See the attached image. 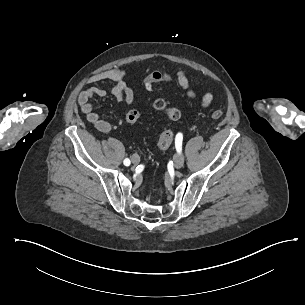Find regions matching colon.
<instances>
[{"mask_svg": "<svg viewBox=\"0 0 305 305\" xmlns=\"http://www.w3.org/2000/svg\"><path fill=\"white\" fill-rule=\"evenodd\" d=\"M163 79L168 81L174 80L178 82L180 77L175 75L173 71L168 70L163 74L160 71L152 70L149 72L148 76L143 78L141 84L143 87L148 88L156 82H160ZM150 109L156 112H163L166 114L167 118L171 121H176L180 117V112L176 108L169 107L164 100H156L153 101L150 105ZM141 116V111L134 109L130 110L125 115V121L129 124H135L139 121ZM213 119H220L223 116V112L221 110H216L212 113ZM174 133L170 130L164 131L160 134L157 145L158 148L163 150L169 148L173 144Z\"/></svg>", "mask_w": 305, "mask_h": 305, "instance_id": "colon-1", "label": "colon"}]
</instances>
